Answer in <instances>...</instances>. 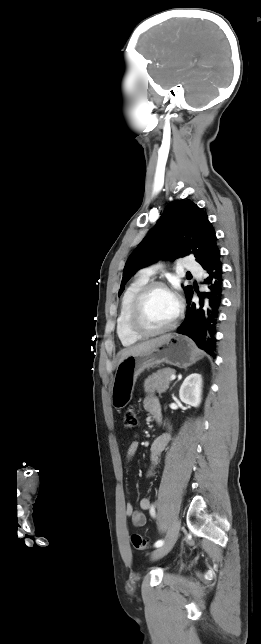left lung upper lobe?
I'll return each instance as SVG.
<instances>
[{"instance_id": "left-lung-upper-lobe-1", "label": "left lung upper lobe", "mask_w": 261, "mask_h": 644, "mask_svg": "<svg viewBox=\"0 0 261 644\" xmlns=\"http://www.w3.org/2000/svg\"><path fill=\"white\" fill-rule=\"evenodd\" d=\"M216 240L214 228L204 210L188 200L169 203L155 227L129 256L119 295L137 270L160 257L174 260L191 254L204 266L219 251ZM184 291L187 297L193 291L192 286L184 287Z\"/></svg>"}]
</instances>
